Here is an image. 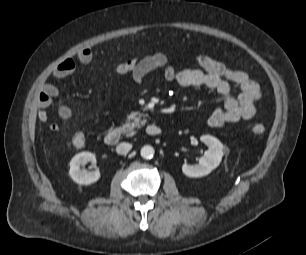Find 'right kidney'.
Here are the masks:
<instances>
[{"instance_id":"obj_1","label":"right kidney","mask_w":306,"mask_h":255,"mask_svg":"<svg viewBox=\"0 0 306 255\" xmlns=\"http://www.w3.org/2000/svg\"><path fill=\"white\" fill-rule=\"evenodd\" d=\"M87 162L96 163V157L93 153H78L70 161L69 175L77 184L90 185L97 182L100 178V172L97 168L94 171L80 169V165H85Z\"/></svg>"}]
</instances>
